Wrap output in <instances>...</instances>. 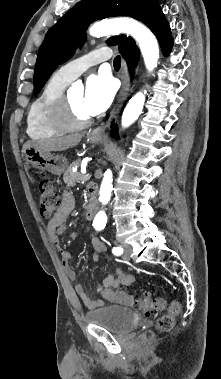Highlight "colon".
<instances>
[{
  "instance_id": "1",
  "label": "colon",
  "mask_w": 221,
  "mask_h": 379,
  "mask_svg": "<svg viewBox=\"0 0 221 379\" xmlns=\"http://www.w3.org/2000/svg\"><path fill=\"white\" fill-rule=\"evenodd\" d=\"M40 192V214L43 218H52L59 208V196L53 182L45 175H42L39 183ZM103 296L113 302L133 307L143 311L147 316H158L165 308V301L162 298H153L148 293L141 297H133L124 291H115L109 288H102ZM181 310L178 301H172L167 312L158 317L156 330L158 332L170 331L174 325V318ZM153 332L147 331L143 334V339L149 340L153 337Z\"/></svg>"
}]
</instances>
